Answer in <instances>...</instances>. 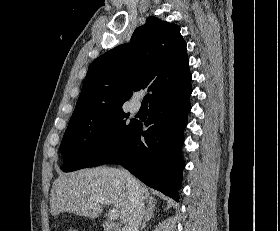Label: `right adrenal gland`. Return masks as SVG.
I'll return each instance as SVG.
<instances>
[{
    "mask_svg": "<svg viewBox=\"0 0 280 231\" xmlns=\"http://www.w3.org/2000/svg\"><path fill=\"white\" fill-rule=\"evenodd\" d=\"M154 211H156L155 203H147V209H145V215L143 217V223H141L140 231H143L144 227H146L147 221L154 217Z\"/></svg>",
    "mask_w": 280,
    "mask_h": 231,
    "instance_id": "right-adrenal-gland-1",
    "label": "right adrenal gland"
}]
</instances>
